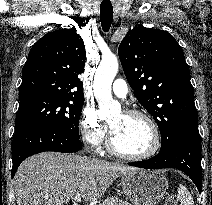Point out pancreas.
Listing matches in <instances>:
<instances>
[{"label":"pancreas","instance_id":"cf45deb5","mask_svg":"<svg viewBox=\"0 0 212 205\" xmlns=\"http://www.w3.org/2000/svg\"><path fill=\"white\" fill-rule=\"evenodd\" d=\"M101 205H131L117 197L107 198Z\"/></svg>","mask_w":212,"mask_h":205}]
</instances>
